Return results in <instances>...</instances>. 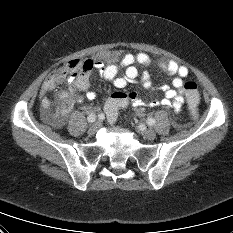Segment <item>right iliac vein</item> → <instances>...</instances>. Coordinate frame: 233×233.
I'll return each instance as SVG.
<instances>
[{
    "label": "right iliac vein",
    "mask_w": 233,
    "mask_h": 233,
    "mask_svg": "<svg viewBox=\"0 0 233 233\" xmlns=\"http://www.w3.org/2000/svg\"><path fill=\"white\" fill-rule=\"evenodd\" d=\"M100 127V123L96 122L94 123L88 130V134L89 135H94L96 133V131L99 129Z\"/></svg>",
    "instance_id": "obj_1"
}]
</instances>
